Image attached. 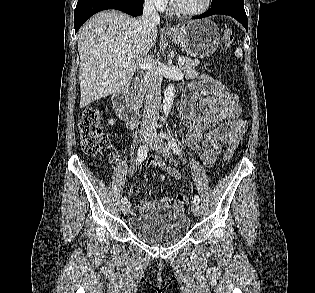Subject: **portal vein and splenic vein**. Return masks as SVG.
<instances>
[{"label": "portal vein and splenic vein", "mask_w": 315, "mask_h": 293, "mask_svg": "<svg viewBox=\"0 0 315 293\" xmlns=\"http://www.w3.org/2000/svg\"><path fill=\"white\" fill-rule=\"evenodd\" d=\"M178 62L179 63H184L185 62V58L184 57H179L178 58ZM124 65H127V63H124ZM139 68L140 69H146V70H152L154 69V66L152 63H141L139 64Z\"/></svg>", "instance_id": "portal-vein-and-splenic-vein-1"}]
</instances>
